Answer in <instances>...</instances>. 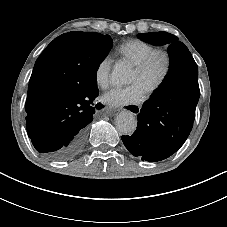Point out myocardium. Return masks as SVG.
<instances>
[{
    "label": "myocardium",
    "instance_id": "obj_1",
    "mask_svg": "<svg viewBox=\"0 0 227 227\" xmlns=\"http://www.w3.org/2000/svg\"><path fill=\"white\" fill-rule=\"evenodd\" d=\"M156 60L162 61V70L158 79L146 88L148 94H154L166 83L172 68L170 52L162 48L154 49L134 68L136 74L145 75Z\"/></svg>",
    "mask_w": 227,
    "mask_h": 227
}]
</instances>
